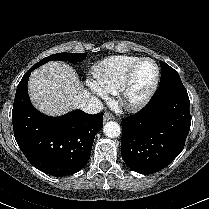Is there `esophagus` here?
<instances>
[{"instance_id":"esophagus-1","label":"esophagus","mask_w":209,"mask_h":209,"mask_svg":"<svg viewBox=\"0 0 209 209\" xmlns=\"http://www.w3.org/2000/svg\"><path fill=\"white\" fill-rule=\"evenodd\" d=\"M113 119H114V116L111 113H109V112L104 113V116H103L104 122L109 121V120H113Z\"/></svg>"}]
</instances>
